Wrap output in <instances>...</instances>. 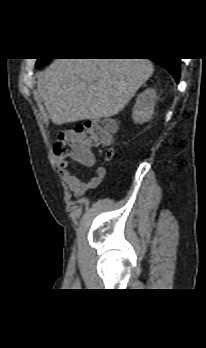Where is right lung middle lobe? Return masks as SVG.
Returning <instances> with one entry per match:
<instances>
[{"instance_id":"obj_1","label":"right lung middle lobe","mask_w":206,"mask_h":348,"mask_svg":"<svg viewBox=\"0 0 206 348\" xmlns=\"http://www.w3.org/2000/svg\"><path fill=\"white\" fill-rule=\"evenodd\" d=\"M50 61V59H38L36 63V67H42L45 64H47Z\"/></svg>"}]
</instances>
